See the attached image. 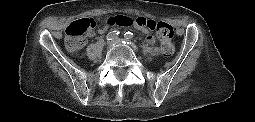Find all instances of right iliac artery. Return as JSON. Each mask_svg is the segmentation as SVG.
Returning a JSON list of instances; mask_svg holds the SVG:
<instances>
[{"label":"right iliac artery","instance_id":"right-iliac-artery-1","mask_svg":"<svg viewBox=\"0 0 255 122\" xmlns=\"http://www.w3.org/2000/svg\"><path fill=\"white\" fill-rule=\"evenodd\" d=\"M119 34H120V32L117 31V30L111 31V32H109V33L107 34L106 39H107L108 41L113 40V39H114L115 37H117Z\"/></svg>","mask_w":255,"mask_h":122}]
</instances>
